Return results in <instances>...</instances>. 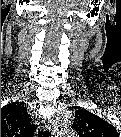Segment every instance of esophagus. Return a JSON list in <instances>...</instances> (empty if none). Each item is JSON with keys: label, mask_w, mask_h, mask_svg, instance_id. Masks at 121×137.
I'll return each mask as SVG.
<instances>
[{"label": "esophagus", "mask_w": 121, "mask_h": 137, "mask_svg": "<svg viewBox=\"0 0 121 137\" xmlns=\"http://www.w3.org/2000/svg\"><path fill=\"white\" fill-rule=\"evenodd\" d=\"M52 129H53V130H54V132H55V125H53V124H52Z\"/></svg>", "instance_id": "34e87169"}]
</instances>
